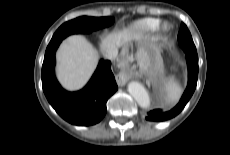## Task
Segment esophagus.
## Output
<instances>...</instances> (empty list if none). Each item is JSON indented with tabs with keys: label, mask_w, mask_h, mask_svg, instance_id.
Segmentation results:
<instances>
[{
	"label": "esophagus",
	"mask_w": 230,
	"mask_h": 155,
	"mask_svg": "<svg viewBox=\"0 0 230 155\" xmlns=\"http://www.w3.org/2000/svg\"><path fill=\"white\" fill-rule=\"evenodd\" d=\"M129 78H130L129 74H127L126 72H120L116 76V82L118 86H124L126 82L129 80Z\"/></svg>",
	"instance_id": "1"
}]
</instances>
